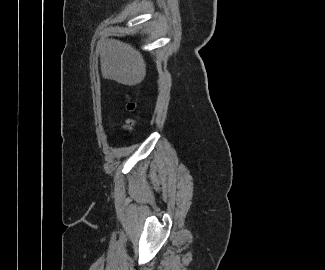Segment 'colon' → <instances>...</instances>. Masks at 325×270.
Returning <instances> with one entry per match:
<instances>
[{
    "mask_svg": "<svg viewBox=\"0 0 325 270\" xmlns=\"http://www.w3.org/2000/svg\"><path fill=\"white\" fill-rule=\"evenodd\" d=\"M136 108V104L133 101H129L127 104V109L130 111H133ZM133 122L129 121V125H131Z\"/></svg>",
    "mask_w": 325,
    "mask_h": 270,
    "instance_id": "obj_1",
    "label": "colon"
}]
</instances>
